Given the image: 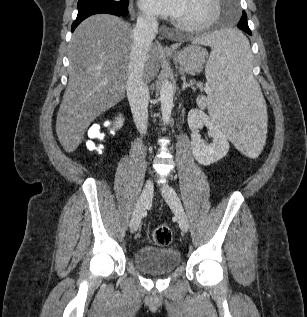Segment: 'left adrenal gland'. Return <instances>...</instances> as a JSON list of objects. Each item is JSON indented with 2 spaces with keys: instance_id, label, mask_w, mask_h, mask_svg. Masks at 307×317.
Returning <instances> with one entry per match:
<instances>
[{
  "instance_id": "a2214340",
  "label": "left adrenal gland",
  "mask_w": 307,
  "mask_h": 317,
  "mask_svg": "<svg viewBox=\"0 0 307 317\" xmlns=\"http://www.w3.org/2000/svg\"><path fill=\"white\" fill-rule=\"evenodd\" d=\"M183 85H182V91H185L187 88H191L192 90H195L194 86L191 83H187L185 77H182Z\"/></svg>"
}]
</instances>
